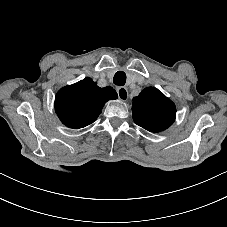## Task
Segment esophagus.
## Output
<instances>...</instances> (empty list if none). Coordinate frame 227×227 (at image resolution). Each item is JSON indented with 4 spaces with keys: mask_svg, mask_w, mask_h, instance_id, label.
<instances>
[{
    "mask_svg": "<svg viewBox=\"0 0 227 227\" xmlns=\"http://www.w3.org/2000/svg\"><path fill=\"white\" fill-rule=\"evenodd\" d=\"M116 91H117V94H118V98L121 101L126 102L128 100L129 92H128L126 87H117Z\"/></svg>",
    "mask_w": 227,
    "mask_h": 227,
    "instance_id": "obj_1",
    "label": "esophagus"
}]
</instances>
